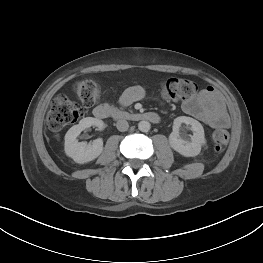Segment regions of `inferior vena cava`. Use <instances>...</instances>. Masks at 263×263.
<instances>
[{
    "label": "inferior vena cava",
    "mask_w": 263,
    "mask_h": 263,
    "mask_svg": "<svg viewBox=\"0 0 263 263\" xmlns=\"http://www.w3.org/2000/svg\"><path fill=\"white\" fill-rule=\"evenodd\" d=\"M116 127L119 131L124 132L128 130L129 124L126 120L121 119L117 121Z\"/></svg>",
    "instance_id": "602c4592"
}]
</instances>
